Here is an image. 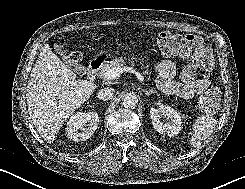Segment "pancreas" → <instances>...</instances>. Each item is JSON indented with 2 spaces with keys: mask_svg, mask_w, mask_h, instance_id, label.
<instances>
[{
  "mask_svg": "<svg viewBox=\"0 0 245 189\" xmlns=\"http://www.w3.org/2000/svg\"><path fill=\"white\" fill-rule=\"evenodd\" d=\"M137 60H139L136 56H131V57H119V58H115L113 60H111L108 64H106L105 66L102 67V70L105 69H112V68H124L126 67V63H133L134 61L137 62ZM127 61V62H126ZM140 64L143 67V63L140 62ZM149 66H147L146 68H148ZM148 73V72H147Z\"/></svg>",
  "mask_w": 245,
  "mask_h": 189,
  "instance_id": "pancreas-1",
  "label": "pancreas"
}]
</instances>
